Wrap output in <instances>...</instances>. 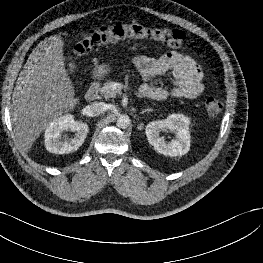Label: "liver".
<instances>
[{
    "label": "liver",
    "instance_id": "obj_1",
    "mask_svg": "<svg viewBox=\"0 0 263 263\" xmlns=\"http://www.w3.org/2000/svg\"><path fill=\"white\" fill-rule=\"evenodd\" d=\"M64 41L53 35L32 51L13 92L12 121L19 147L28 152L50 122L77 104L63 60Z\"/></svg>",
    "mask_w": 263,
    "mask_h": 263
}]
</instances>
